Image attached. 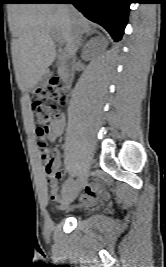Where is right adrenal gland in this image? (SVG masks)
Segmentation results:
<instances>
[{"mask_svg":"<svg viewBox=\"0 0 166 267\" xmlns=\"http://www.w3.org/2000/svg\"><path fill=\"white\" fill-rule=\"evenodd\" d=\"M95 32H96L95 30H91V31L86 35V37H88V36L94 34ZM85 39H86V38H85ZM85 39H84V40H85ZM84 40L82 41V43L84 42Z\"/></svg>","mask_w":166,"mask_h":267,"instance_id":"1","label":"right adrenal gland"}]
</instances>
